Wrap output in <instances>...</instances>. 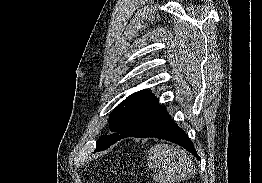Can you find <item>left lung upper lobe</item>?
Wrapping results in <instances>:
<instances>
[{
	"mask_svg": "<svg viewBox=\"0 0 262 183\" xmlns=\"http://www.w3.org/2000/svg\"><path fill=\"white\" fill-rule=\"evenodd\" d=\"M159 107L158 100L148 90L127 97L110 114L108 122L111 132L97 140L95 152L137 132Z\"/></svg>",
	"mask_w": 262,
	"mask_h": 183,
	"instance_id": "left-lung-upper-lobe-1",
	"label": "left lung upper lobe"
}]
</instances>
